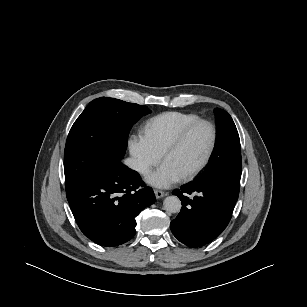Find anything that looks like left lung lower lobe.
<instances>
[{
  "label": "left lung lower lobe",
  "instance_id": "0a47b994",
  "mask_svg": "<svg viewBox=\"0 0 307 307\" xmlns=\"http://www.w3.org/2000/svg\"><path fill=\"white\" fill-rule=\"evenodd\" d=\"M197 193L193 199L186 194ZM182 201V209L171 221L173 235L189 247L203 246L216 237L228 225L239 192L227 183L209 179L195 181L173 191Z\"/></svg>",
  "mask_w": 307,
  "mask_h": 307
}]
</instances>
